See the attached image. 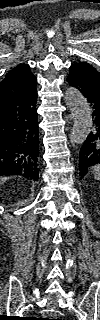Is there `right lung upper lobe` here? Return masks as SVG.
Masks as SVG:
<instances>
[{
  "instance_id": "obj_1",
  "label": "right lung upper lobe",
  "mask_w": 100,
  "mask_h": 320,
  "mask_svg": "<svg viewBox=\"0 0 100 320\" xmlns=\"http://www.w3.org/2000/svg\"><path fill=\"white\" fill-rule=\"evenodd\" d=\"M36 86V78L27 64L9 71L0 83V102L14 100L27 95Z\"/></svg>"
}]
</instances>
